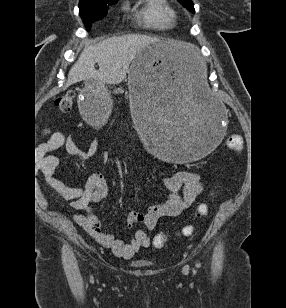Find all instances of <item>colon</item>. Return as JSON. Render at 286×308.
Instances as JSON below:
<instances>
[{"instance_id":"obj_1","label":"colon","mask_w":286,"mask_h":308,"mask_svg":"<svg viewBox=\"0 0 286 308\" xmlns=\"http://www.w3.org/2000/svg\"><path fill=\"white\" fill-rule=\"evenodd\" d=\"M75 94L72 91L66 92L65 94L57 97L55 100V107L62 113H67L72 109L74 103ZM228 147L235 151L241 152L244 147L243 138L238 134H232L227 140ZM208 213V205L207 204H200L197 208V215L198 216H205ZM192 227L187 226L183 229V233L185 235H190L192 233ZM167 242V237L165 234H157L153 238V245L156 248H162L165 246Z\"/></svg>"}]
</instances>
